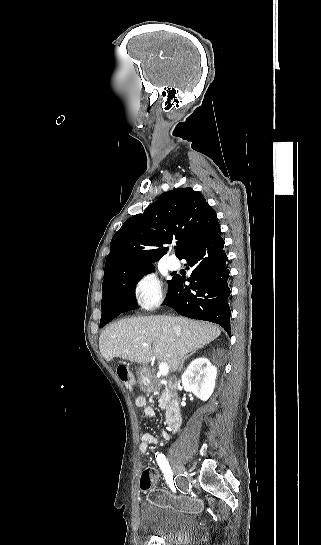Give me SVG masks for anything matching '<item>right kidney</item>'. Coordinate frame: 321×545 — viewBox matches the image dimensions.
<instances>
[{"mask_svg":"<svg viewBox=\"0 0 321 545\" xmlns=\"http://www.w3.org/2000/svg\"><path fill=\"white\" fill-rule=\"evenodd\" d=\"M216 367L205 357H199L190 363L181 377L184 391L193 393L201 401H207L215 389Z\"/></svg>","mask_w":321,"mask_h":545,"instance_id":"right-kidney-1","label":"right kidney"}]
</instances>
